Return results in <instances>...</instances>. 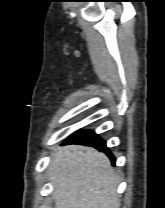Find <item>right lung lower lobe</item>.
Here are the masks:
<instances>
[{
    "mask_svg": "<svg viewBox=\"0 0 165 208\" xmlns=\"http://www.w3.org/2000/svg\"><path fill=\"white\" fill-rule=\"evenodd\" d=\"M65 144H80L86 146H92L104 153H106L112 161V164H115V158L110 150L107 148L106 143L100 139L93 131H77L75 132Z\"/></svg>",
    "mask_w": 165,
    "mask_h": 208,
    "instance_id": "right-lung-lower-lobe-1",
    "label": "right lung lower lobe"
}]
</instances>
